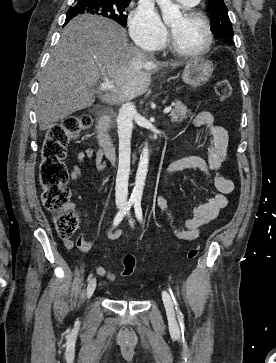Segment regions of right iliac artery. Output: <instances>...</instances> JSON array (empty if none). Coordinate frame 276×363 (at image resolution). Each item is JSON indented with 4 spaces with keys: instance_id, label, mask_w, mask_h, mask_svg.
<instances>
[{
    "instance_id": "right-iliac-artery-1",
    "label": "right iliac artery",
    "mask_w": 276,
    "mask_h": 363,
    "mask_svg": "<svg viewBox=\"0 0 276 363\" xmlns=\"http://www.w3.org/2000/svg\"><path fill=\"white\" fill-rule=\"evenodd\" d=\"M134 203V200H129L125 206L117 213V215L115 216L114 218V221H113V226H117L123 219V217L125 216V214L130 210V208L132 207ZM93 274L91 273L89 276H88V279L87 281H90L91 278H92Z\"/></svg>"
}]
</instances>
